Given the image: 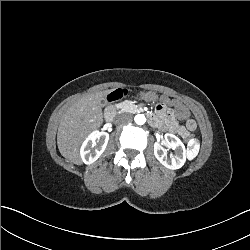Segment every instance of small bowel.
Here are the masks:
<instances>
[{"label": "small bowel", "instance_id": "1", "mask_svg": "<svg viewBox=\"0 0 250 250\" xmlns=\"http://www.w3.org/2000/svg\"><path fill=\"white\" fill-rule=\"evenodd\" d=\"M163 110H166L165 108H163ZM175 115L178 119L180 120H186L187 121V125L189 123H193L195 126V123L193 120L190 119V115L188 110L184 109V108H179L176 112ZM150 120L152 121H158L161 124H167L170 125L171 127H174L175 129L178 128L177 125H175V122L171 121L170 119L165 117V114H162L161 117H158L157 115H152L150 116Z\"/></svg>", "mask_w": 250, "mask_h": 250}]
</instances>
